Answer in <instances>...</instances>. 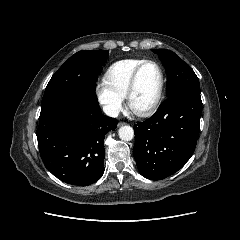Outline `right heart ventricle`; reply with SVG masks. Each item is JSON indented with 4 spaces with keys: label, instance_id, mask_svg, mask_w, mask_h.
<instances>
[{
    "label": "right heart ventricle",
    "instance_id": "1",
    "mask_svg": "<svg viewBox=\"0 0 240 240\" xmlns=\"http://www.w3.org/2000/svg\"><path fill=\"white\" fill-rule=\"evenodd\" d=\"M143 61V59H124L113 63L104 75L106 85L120 97H126L131 75Z\"/></svg>",
    "mask_w": 240,
    "mask_h": 240
}]
</instances>
